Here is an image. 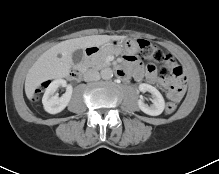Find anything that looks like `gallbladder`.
Segmentation results:
<instances>
[{
    "label": "gallbladder",
    "mask_w": 219,
    "mask_h": 174,
    "mask_svg": "<svg viewBox=\"0 0 219 174\" xmlns=\"http://www.w3.org/2000/svg\"><path fill=\"white\" fill-rule=\"evenodd\" d=\"M84 53L81 49H78L73 52L72 60L74 64H79L83 60Z\"/></svg>",
    "instance_id": "bac80fb5"
}]
</instances>
